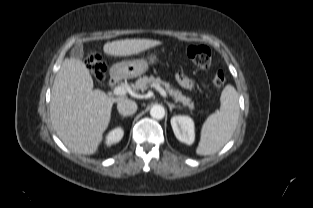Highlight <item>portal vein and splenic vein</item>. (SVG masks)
Masks as SVG:
<instances>
[{"instance_id":"portal-vein-and-splenic-vein-1","label":"portal vein and splenic vein","mask_w":313,"mask_h":208,"mask_svg":"<svg viewBox=\"0 0 313 208\" xmlns=\"http://www.w3.org/2000/svg\"><path fill=\"white\" fill-rule=\"evenodd\" d=\"M155 87V89L163 96V97H167V93L166 91L160 87L159 85H153ZM113 93L115 95H125L127 93V89L124 87V86H116L114 89H113Z\"/></svg>"}]
</instances>
